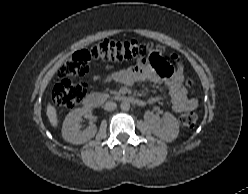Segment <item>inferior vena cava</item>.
Masks as SVG:
<instances>
[{
  "mask_svg": "<svg viewBox=\"0 0 248 194\" xmlns=\"http://www.w3.org/2000/svg\"><path fill=\"white\" fill-rule=\"evenodd\" d=\"M116 107H117V104L115 102H112V101H108L104 105V109L106 111H113L116 109Z\"/></svg>",
  "mask_w": 248,
  "mask_h": 194,
  "instance_id": "inferior-vena-cava-1",
  "label": "inferior vena cava"
}]
</instances>
